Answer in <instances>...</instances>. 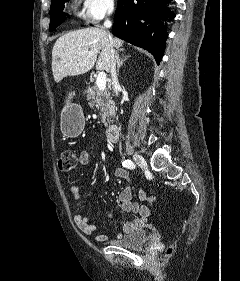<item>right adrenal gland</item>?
I'll return each instance as SVG.
<instances>
[{"mask_svg":"<svg viewBox=\"0 0 240 281\" xmlns=\"http://www.w3.org/2000/svg\"><path fill=\"white\" fill-rule=\"evenodd\" d=\"M123 51V50H120V52ZM130 57V55L128 56H125L123 59L120 58V55H119V51L116 53V62H117V72L119 73L120 72V68L123 64V62L128 59Z\"/></svg>","mask_w":240,"mask_h":281,"instance_id":"obj_1","label":"right adrenal gland"}]
</instances>
